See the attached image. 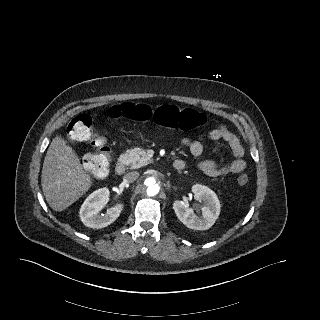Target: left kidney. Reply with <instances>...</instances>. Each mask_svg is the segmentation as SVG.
Masks as SVG:
<instances>
[{"label": "left kidney", "instance_id": "5707ae66", "mask_svg": "<svg viewBox=\"0 0 320 320\" xmlns=\"http://www.w3.org/2000/svg\"><path fill=\"white\" fill-rule=\"evenodd\" d=\"M192 192L197 201L205 203L201 208V216H197L192 208L180 200L173 203V209L177 218L188 228L207 230L212 227L220 214V202L215 192L206 186L196 184L192 187Z\"/></svg>", "mask_w": 320, "mask_h": 320}]
</instances>
